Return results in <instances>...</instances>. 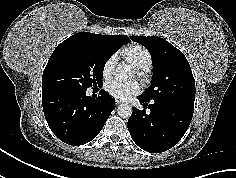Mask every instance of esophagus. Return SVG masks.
<instances>
[{"label": "esophagus", "instance_id": "1", "mask_svg": "<svg viewBox=\"0 0 236 178\" xmlns=\"http://www.w3.org/2000/svg\"><path fill=\"white\" fill-rule=\"evenodd\" d=\"M121 103H122L121 101H119V100H115V104H116V106H119Z\"/></svg>", "mask_w": 236, "mask_h": 178}]
</instances>
